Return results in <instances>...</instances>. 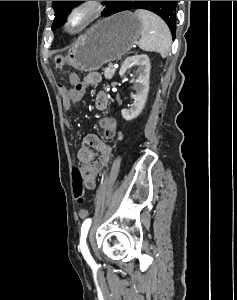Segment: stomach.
I'll return each mask as SVG.
<instances>
[{
    "mask_svg": "<svg viewBox=\"0 0 237 300\" xmlns=\"http://www.w3.org/2000/svg\"><path fill=\"white\" fill-rule=\"evenodd\" d=\"M141 33L142 21L134 13H117L98 21L74 43L65 57L55 55L53 63L58 69L71 65L78 71H98L104 63L120 59L137 43Z\"/></svg>",
    "mask_w": 237,
    "mask_h": 300,
    "instance_id": "0dacf381",
    "label": "stomach"
}]
</instances>
